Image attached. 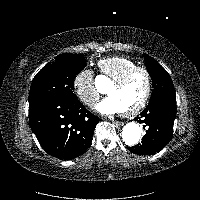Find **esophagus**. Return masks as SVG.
<instances>
[{
    "label": "esophagus",
    "mask_w": 200,
    "mask_h": 200,
    "mask_svg": "<svg viewBox=\"0 0 200 200\" xmlns=\"http://www.w3.org/2000/svg\"><path fill=\"white\" fill-rule=\"evenodd\" d=\"M114 124H115L116 126H123V125H124V123H123V122H120V121H114Z\"/></svg>",
    "instance_id": "obj_1"
}]
</instances>
